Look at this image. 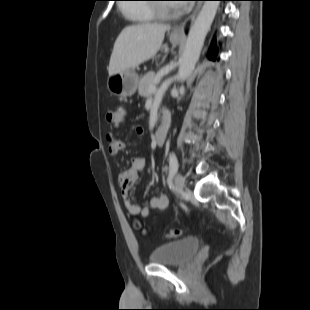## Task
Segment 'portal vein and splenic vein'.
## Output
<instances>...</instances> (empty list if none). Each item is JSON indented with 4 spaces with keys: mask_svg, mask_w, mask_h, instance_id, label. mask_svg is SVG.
Listing matches in <instances>:
<instances>
[{
    "mask_svg": "<svg viewBox=\"0 0 310 310\" xmlns=\"http://www.w3.org/2000/svg\"><path fill=\"white\" fill-rule=\"evenodd\" d=\"M149 92H150V93L156 92V86H151V87L149 88Z\"/></svg>",
    "mask_w": 310,
    "mask_h": 310,
    "instance_id": "obj_1",
    "label": "portal vein and splenic vein"
}]
</instances>
